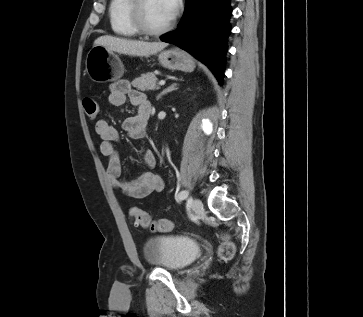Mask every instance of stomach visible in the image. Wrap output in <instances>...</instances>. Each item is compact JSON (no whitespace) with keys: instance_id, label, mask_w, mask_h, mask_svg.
Wrapping results in <instances>:
<instances>
[{"instance_id":"1","label":"stomach","mask_w":363,"mask_h":317,"mask_svg":"<svg viewBox=\"0 0 363 317\" xmlns=\"http://www.w3.org/2000/svg\"><path fill=\"white\" fill-rule=\"evenodd\" d=\"M160 64L169 70L192 72L195 63L190 55L178 48L162 51L158 55ZM86 72L96 83L116 81L123 76L124 66L114 51L103 46H94L87 54Z\"/></svg>"}]
</instances>
